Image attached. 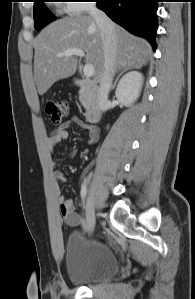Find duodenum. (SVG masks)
<instances>
[{
  "mask_svg": "<svg viewBox=\"0 0 195 299\" xmlns=\"http://www.w3.org/2000/svg\"><path fill=\"white\" fill-rule=\"evenodd\" d=\"M75 83L82 91L87 103L85 121L97 123L103 111V98L99 86L95 82L81 78H77Z\"/></svg>",
  "mask_w": 195,
  "mask_h": 299,
  "instance_id": "410a0bca",
  "label": "duodenum"
}]
</instances>
